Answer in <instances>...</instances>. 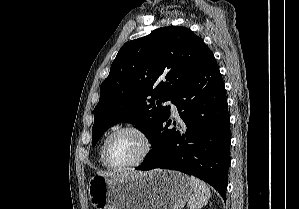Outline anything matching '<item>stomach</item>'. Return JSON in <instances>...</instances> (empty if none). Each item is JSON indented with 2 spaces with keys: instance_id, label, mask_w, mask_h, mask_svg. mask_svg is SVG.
I'll list each match as a JSON object with an SVG mask.
<instances>
[{
  "instance_id": "1",
  "label": "stomach",
  "mask_w": 299,
  "mask_h": 209,
  "mask_svg": "<svg viewBox=\"0 0 299 209\" xmlns=\"http://www.w3.org/2000/svg\"><path fill=\"white\" fill-rule=\"evenodd\" d=\"M87 189L95 209H182L193 190L187 175L162 169L116 178L98 174Z\"/></svg>"
}]
</instances>
